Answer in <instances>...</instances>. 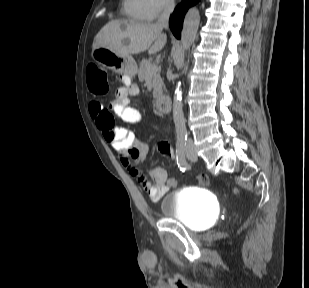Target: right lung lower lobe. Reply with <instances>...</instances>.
Segmentation results:
<instances>
[{
    "label": "right lung lower lobe",
    "mask_w": 309,
    "mask_h": 288,
    "mask_svg": "<svg viewBox=\"0 0 309 288\" xmlns=\"http://www.w3.org/2000/svg\"><path fill=\"white\" fill-rule=\"evenodd\" d=\"M199 1L200 0H183L182 3L173 12L169 26L176 38H180L181 25L187 9Z\"/></svg>",
    "instance_id": "obj_1"
}]
</instances>
